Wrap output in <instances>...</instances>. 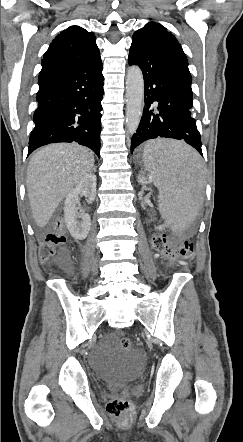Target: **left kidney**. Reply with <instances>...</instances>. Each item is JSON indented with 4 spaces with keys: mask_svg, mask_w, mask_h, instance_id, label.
<instances>
[{
    "mask_svg": "<svg viewBox=\"0 0 243 442\" xmlns=\"http://www.w3.org/2000/svg\"><path fill=\"white\" fill-rule=\"evenodd\" d=\"M138 183L141 185H145V184H148L149 182L147 181V179L145 177H143L142 175H139L138 176ZM158 227H159V229H161L163 231L167 227V224H163Z\"/></svg>",
    "mask_w": 243,
    "mask_h": 442,
    "instance_id": "left-kidney-1",
    "label": "left kidney"
}]
</instances>
